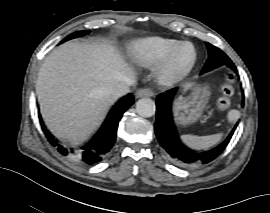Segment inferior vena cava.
Masks as SVG:
<instances>
[{"mask_svg":"<svg viewBox=\"0 0 270 213\" xmlns=\"http://www.w3.org/2000/svg\"><path fill=\"white\" fill-rule=\"evenodd\" d=\"M135 84V79L131 77L124 78L123 82L115 85L111 90V95L115 98L123 96L130 91V87Z\"/></svg>","mask_w":270,"mask_h":213,"instance_id":"inferior-vena-cava-1","label":"inferior vena cava"}]
</instances>
